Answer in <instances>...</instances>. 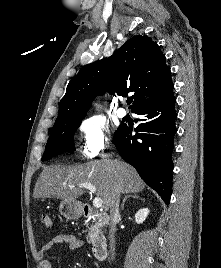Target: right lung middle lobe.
I'll list each match as a JSON object with an SVG mask.
<instances>
[{
	"mask_svg": "<svg viewBox=\"0 0 221 268\" xmlns=\"http://www.w3.org/2000/svg\"><path fill=\"white\" fill-rule=\"evenodd\" d=\"M83 118L84 117H79L55 122L47 141L42 161L48 160L63 152H71L75 150L73 137Z\"/></svg>",
	"mask_w": 221,
	"mask_h": 268,
	"instance_id": "right-lung-middle-lobe-1",
	"label": "right lung middle lobe"
}]
</instances>
